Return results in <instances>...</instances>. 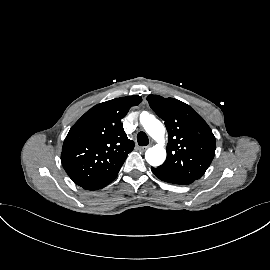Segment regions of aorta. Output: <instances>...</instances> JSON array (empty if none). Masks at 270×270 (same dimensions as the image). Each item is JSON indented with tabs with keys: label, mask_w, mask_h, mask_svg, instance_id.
<instances>
[{
	"label": "aorta",
	"mask_w": 270,
	"mask_h": 270,
	"mask_svg": "<svg viewBox=\"0 0 270 270\" xmlns=\"http://www.w3.org/2000/svg\"><path fill=\"white\" fill-rule=\"evenodd\" d=\"M141 123L146 132L158 142L157 145L148 148L145 153L146 161L151 166H159L166 159V150L164 148L165 128L163 124L152 115L141 119Z\"/></svg>",
	"instance_id": "aorta-1"
}]
</instances>
